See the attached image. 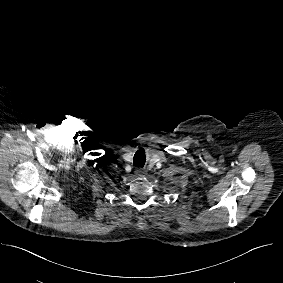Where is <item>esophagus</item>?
<instances>
[{"mask_svg": "<svg viewBox=\"0 0 283 283\" xmlns=\"http://www.w3.org/2000/svg\"><path fill=\"white\" fill-rule=\"evenodd\" d=\"M136 175L139 177V176H142V174H143V172H142V170H140V169H138V170H136Z\"/></svg>", "mask_w": 283, "mask_h": 283, "instance_id": "obj_1", "label": "esophagus"}]
</instances>
